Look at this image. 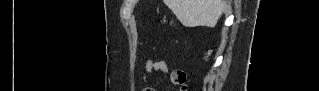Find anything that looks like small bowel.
Returning <instances> with one entry per match:
<instances>
[{"label": "small bowel", "instance_id": "c3829d8e", "mask_svg": "<svg viewBox=\"0 0 319 91\" xmlns=\"http://www.w3.org/2000/svg\"><path fill=\"white\" fill-rule=\"evenodd\" d=\"M169 69V65L165 61H152L148 60L144 64V73L145 76H147L149 73L156 71V72H165ZM181 72H173L172 73V81L174 83H178L179 76L181 75Z\"/></svg>", "mask_w": 319, "mask_h": 91}]
</instances>
